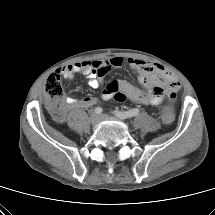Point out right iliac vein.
<instances>
[{
    "label": "right iliac vein",
    "instance_id": "1",
    "mask_svg": "<svg viewBox=\"0 0 215 215\" xmlns=\"http://www.w3.org/2000/svg\"><path fill=\"white\" fill-rule=\"evenodd\" d=\"M90 120L92 125H97L100 122V117L97 114L92 113L90 116Z\"/></svg>",
    "mask_w": 215,
    "mask_h": 215
}]
</instances>
